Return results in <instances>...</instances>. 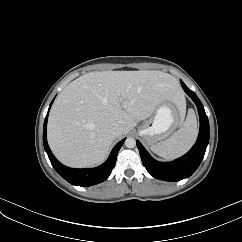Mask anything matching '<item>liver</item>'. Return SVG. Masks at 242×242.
<instances>
[{
	"mask_svg": "<svg viewBox=\"0 0 242 242\" xmlns=\"http://www.w3.org/2000/svg\"><path fill=\"white\" fill-rule=\"evenodd\" d=\"M166 101L185 110L184 95L170 74L155 70L87 73L68 84L52 106L49 146L65 165H98L107 158L115 139ZM114 124L122 128L117 137L110 133Z\"/></svg>",
	"mask_w": 242,
	"mask_h": 242,
	"instance_id": "1",
	"label": "liver"
}]
</instances>
